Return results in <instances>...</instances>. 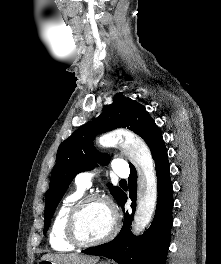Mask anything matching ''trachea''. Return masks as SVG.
I'll use <instances>...</instances> for the list:
<instances>
[{
    "label": "trachea",
    "mask_w": 221,
    "mask_h": 264,
    "mask_svg": "<svg viewBox=\"0 0 221 264\" xmlns=\"http://www.w3.org/2000/svg\"><path fill=\"white\" fill-rule=\"evenodd\" d=\"M120 183H126V180L122 179L120 180Z\"/></svg>",
    "instance_id": "1"
}]
</instances>
